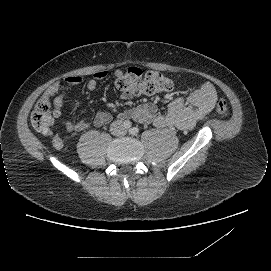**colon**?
I'll use <instances>...</instances> for the list:
<instances>
[{"label":"colon","mask_w":271,"mask_h":271,"mask_svg":"<svg viewBox=\"0 0 271 271\" xmlns=\"http://www.w3.org/2000/svg\"><path fill=\"white\" fill-rule=\"evenodd\" d=\"M121 92L132 95H154L172 88L171 81L157 71L143 72L140 68L130 67L117 81ZM217 111L224 117L229 114L227 103L220 99L216 102ZM59 111L51 105L49 97H42L36 104L31 122L34 128L43 134H49Z\"/></svg>","instance_id":"5ec220e1"}]
</instances>
